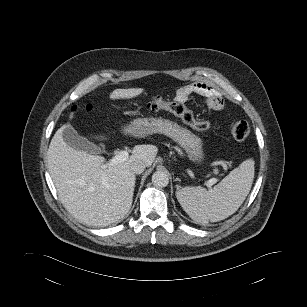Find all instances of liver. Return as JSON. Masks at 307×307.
<instances>
[{
  "mask_svg": "<svg viewBox=\"0 0 307 307\" xmlns=\"http://www.w3.org/2000/svg\"><path fill=\"white\" fill-rule=\"evenodd\" d=\"M143 92L142 88L115 89L110 99H131ZM63 127L54 134L47 152L48 169L59 200L81 223L104 227L120 221L133 201L136 177L131 164L142 161L147 167L151 166L158 148L136 145L125 161L108 165L101 156L69 146L62 136ZM123 132L133 135L127 127Z\"/></svg>",
  "mask_w": 307,
  "mask_h": 307,
  "instance_id": "obj_1",
  "label": "liver"
}]
</instances>
